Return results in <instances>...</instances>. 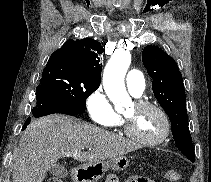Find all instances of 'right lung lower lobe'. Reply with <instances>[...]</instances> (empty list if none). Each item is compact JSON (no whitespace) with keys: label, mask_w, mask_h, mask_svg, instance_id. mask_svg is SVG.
I'll list each match as a JSON object with an SVG mask.
<instances>
[{"label":"right lung lower lobe","mask_w":211,"mask_h":182,"mask_svg":"<svg viewBox=\"0 0 211 182\" xmlns=\"http://www.w3.org/2000/svg\"><path fill=\"white\" fill-rule=\"evenodd\" d=\"M37 105L33 108L32 114L34 117H42L53 113H62L67 115H79L80 112L75 111L66 103L48 95H36ZM31 118H28L22 128L24 130L30 123Z\"/></svg>","instance_id":"98d812e1"}]
</instances>
